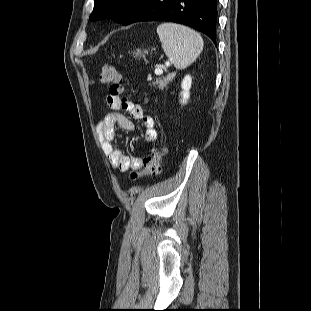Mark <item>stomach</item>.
Returning <instances> with one entry per match:
<instances>
[{
    "instance_id": "stomach-1",
    "label": "stomach",
    "mask_w": 311,
    "mask_h": 311,
    "mask_svg": "<svg viewBox=\"0 0 311 311\" xmlns=\"http://www.w3.org/2000/svg\"><path fill=\"white\" fill-rule=\"evenodd\" d=\"M143 53H146V51L142 52V50L137 49L135 52V55H136V57H138V56L141 57V56H143Z\"/></svg>"
}]
</instances>
